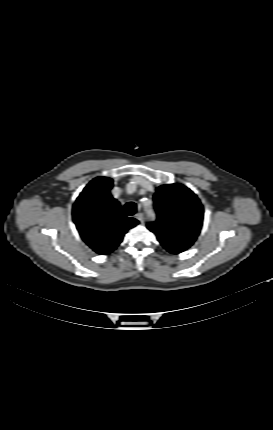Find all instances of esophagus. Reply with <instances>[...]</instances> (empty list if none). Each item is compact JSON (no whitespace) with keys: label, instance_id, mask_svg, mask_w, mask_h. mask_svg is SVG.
Wrapping results in <instances>:
<instances>
[{"label":"esophagus","instance_id":"obj_1","mask_svg":"<svg viewBox=\"0 0 273 430\" xmlns=\"http://www.w3.org/2000/svg\"><path fill=\"white\" fill-rule=\"evenodd\" d=\"M135 218H136L138 221H140L141 223H143V222H144V215H143L142 213H137V214L135 215Z\"/></svg>","mask_w":273,"mask_h":430}]
</instances>
